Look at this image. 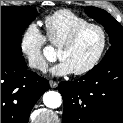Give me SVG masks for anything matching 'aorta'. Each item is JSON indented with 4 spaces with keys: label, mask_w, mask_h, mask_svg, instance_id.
Wrapping results in <instances>:
<instances>
[{
    "label": "aorta",
    "mask_w": 123,
    "mask_h": 123,
    "mask_svg": "<svg viewBox=\"0 0 123 123\" xmlns=\"http://www.w3.org/2000/svg\"><path fill=\"white\" fill-rule=\"evenodd\" d=\"M43 103L48 108H58L62 104V97L60 93L55 91H47L43 95Z\"/></svg>",
    "instance_id": "obj_1"
}]
</instances>
